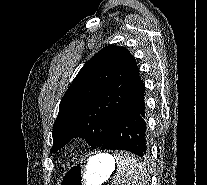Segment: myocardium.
Masks as SVG:
<instances>
[{
  "label": "myocardium",
  "mask_w": 207,
  "mask_h": 185,
  "mask_svg": "<svg viewBox=\"0 0 207 185\" xmlns=\"http://www.w3.org/2000/svg\"><path fill=\"white\" fill-rule=\"evenodd\" d=\"M83 145L84 141L81 138H75L65 146V150L68 154L74 155L81 150Z\"/></svg>",
  "instance_id": "f54148a6"
}]
</instances>
